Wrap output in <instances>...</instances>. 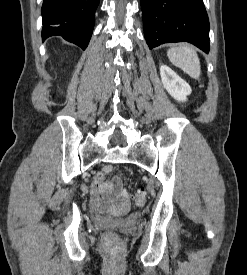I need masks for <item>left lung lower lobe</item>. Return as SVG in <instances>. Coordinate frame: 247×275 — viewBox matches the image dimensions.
I'll use <instances>...</instances> for the list:
<instances>
[{"instance_id": "0a47b994", "label": "left lung lower lobe", "mask_w": 247, "mask_h": 275, "mask_svg": "<svg viewBox=\"0 0 247 275\" xmlns=\"http://www.w3.org/2000/svg\"><path fill=\"white\" fill-rule=\"evenodd\" d=\"M141 8L150 49L186 41L209 52V20L202 0H141Z\"/></svg>"}]
</instances>
